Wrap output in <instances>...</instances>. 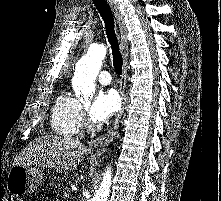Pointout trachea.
<instances>
[{"mask_svg": "<svg viewBox=\"0 0 221 201\" xmlns=\"http://www.w3.org/2000/svg\"><path fill=\"white\" fill-rule=\"evenodd\" d=\"M93 3L99 11L105 24L106 35L112 49L113 66L115 68V72L118 75H121L123 59L119 51V45L114 31V19L112 12L106 0H93Z\"/></svg>", "mask_w": 221, "mask_h": 201, "instance_id": "trachea-1", "label": "trachea"}]
</instances>
